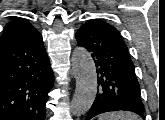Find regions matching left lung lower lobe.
Instances as JSON below:
<instances>
[{
  "label": "left lung lower lobe",
  "instance_id": "left-lung-lower-lobe-1",
  "mask_svg": "<svg viewBox=\"0 0 165 120\" xmlns=\"http://www.w3.org/2000/svg\"><path fill=\"white\" fill-rule=\"evenodd\" d=\"M78 46L85 47L97 67L98 92L86 120L117 110L144 116L140 86L134 64L121 36L106 28L100 20H88L75 34Z\"/></svg>",
  "mask_w": 165,
  "mask_h": 120
}]
</instances>
